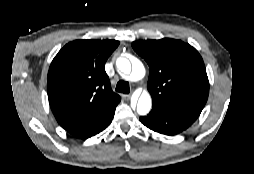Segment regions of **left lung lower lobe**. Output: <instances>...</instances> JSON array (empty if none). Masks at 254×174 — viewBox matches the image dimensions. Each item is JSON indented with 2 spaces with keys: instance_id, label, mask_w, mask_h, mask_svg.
Wrapping results in <instances>:
<instances>
[{
  "instance_id": "1",
  "label": "left lung lower lobe",
  "mask_w": 254,
  "mask_h": 174,
  "mask_svg": "<svg viewBox=\"0 0 254 174\" xmlns=\"http://www.w3.org/2000/svg\"><path fill=\"white\" fill-rule=\"evenodd\" d=\"M197 118L194 114L153 103L151 112L140 117V121L155 132L172 136L187 129Z\"/></svg>"
}]
</instances>
